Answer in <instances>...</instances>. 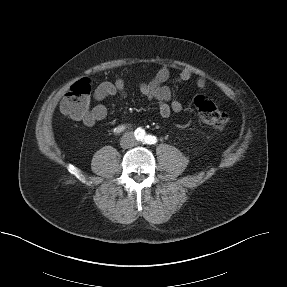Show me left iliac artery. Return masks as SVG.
<instances>
[{"label": "left iliac artery", "instance_id": "1", "mask_svg": "<svg viewBox=\"0 0 287 287\" xmlns=\"http://www.w3.org/2000/svg\"><path fill=\"white\" fill-rule=\"evenodd\" d=\"M145 143H147V144H155L156 142H157V138L155 137V136H152V135H147L146 137H145Z\"/></svg>", "mask_w": 287, "mask_h": 287}]
</instances>
